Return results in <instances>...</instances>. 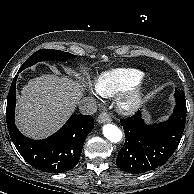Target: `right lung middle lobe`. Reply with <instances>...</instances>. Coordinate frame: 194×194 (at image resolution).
<instances>
[{"mask_svg":"<svg viewBox=\"0 0 194 194\" xmlns=\"http://www.w3.org/2000/svg\"><path fill=\"white\" fill-rule=\"evenodd\" d=\"M73 57L72 54L59 51V50H53V49H41L37 52H35L33 55H31L21 66V70L30 67L34 65L35 63L39 61H48V60H60L65 61L68 58ZM75 57V56H74Z\"/></svg>","mask_w":194,"mask_h":194,"instance_id":"1","label":"right lung middle lobe"}]
</instances>
